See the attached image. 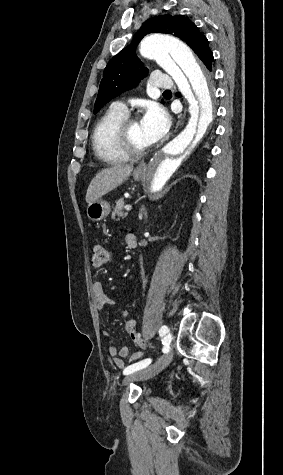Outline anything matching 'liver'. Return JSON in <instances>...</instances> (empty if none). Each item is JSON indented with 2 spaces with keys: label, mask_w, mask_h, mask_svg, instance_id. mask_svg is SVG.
Returning a JSON list of instances; mask_svg holds the SVG:
<instances>
[{
  "label": "liver",
  "mask_w": 283,
  "mask_h": 475,
  "mask_svg": "<svg viewBox=\"0 0 283 475\" xmlns=\"http://www.w3.org/2000/svg\"><path fill=\"white\" fill-rule=\"evenodd\" d=\"M133 166H122V164H115V166H110V168H105L101 170L99 174H96L95 178L91 180L90 186H88L86 194L87 204H92L96 202L120 184H123L125 180H128Z\"/></svg>",
  "instance_id": "6515ba94"
}]
</instances>
